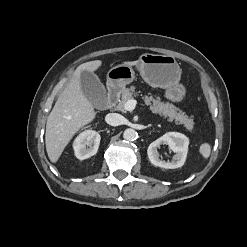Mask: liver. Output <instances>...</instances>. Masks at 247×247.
I'll use <instances>...</instances> for the list:
<instances>
[{"mask_svg": "<svg viewBox=\"0 0 247 247\" xmlns=\"http://www.w3.org/2000/svg\"><path fill=\"white\" fill-rule=\"evenodd\" d=\"M137 63L138 60L123 64L133 66ZM101 65L100 60L81 64L50 112L46 123L45 144L51 162L56 163L73 136L96 117L93 105L82 92L80 75L82 71L93 73Z\"/></svg>", "mask_w": 247, "mask_h": 247, "instance_id": "6515ba94", "label": "liver"}]
</instances>
